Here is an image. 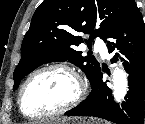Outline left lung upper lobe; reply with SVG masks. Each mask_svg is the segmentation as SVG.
<instances>
[{"label": "left lung upper lobe", "mask_w": 145, "mask_h": 124, "mask_svg": "<svg viewBox=\"0 0 145 124\" xmlns=\"http://www.w3.org/2000/svg\"><path fill=\"white\" fill-rule=\"evenodd\" d=\"M133 0H45L35 11L21 46V60L13 79H21L38 66L69 61L87 75L91 85L100 69L94 56H82L76 47L84 42L76 32L90 34L85 42L111 38L127 19Z\"/></svg>", "instance_id": "left-lung-upper-lobe-1"}]
</instances>
